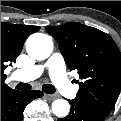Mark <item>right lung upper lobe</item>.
<instances>
[{
  "label": "right lung upper lobe",
  "mask_w": 121,
  "mask_h": 121,
  "mask_svg": "<svg viewBox=\"0 0 121 121\" xmlns=\"http://www.w3.org/2000/svg\"><path fill=\"white\" fill-rule=\"evenodd\" d=\"M39 29V26L1 23V94L12 90L4 83L7 64L16 61L26 38Z\"/></svg>",
  "instance_id": "1"
}]
</instances>
